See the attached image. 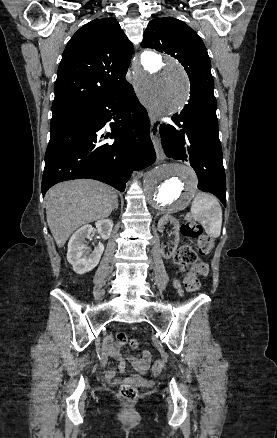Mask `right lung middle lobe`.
<instances>
[{
	"mask_svg": "<svg viewBox=\"0 0 277 438\" xmlns=\"http://www.w3.org/2000/svg\"><path fill=\"white\" fill-rule=\"evenodd\" d=\"M76 111L77 110L53 111L52 112V119H51V127L56 125L62 119L68 117L69 115L73 114Z\"/></svg>",
	"mask_w": 277,
	"mask_h": 438,
	"instance_id": "1",
	"label": "right lung middle lobe"
}]
</instances>
